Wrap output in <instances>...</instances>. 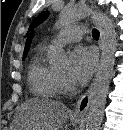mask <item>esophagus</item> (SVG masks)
I'll return each mask as SVG.
<instances>
[{"instance_id": "34e87169", "label": "esophagus", "mask_w": 123, "mask_h": 130, "mask_svg": "<svg viewBox=\"0 0 123 130\" xmlns=\"http://www.w3.org/2000/svg\"><path fill=\"white\" fill-rule=\"evenodd\" d=\"M91 19L100 32V46H101L104 38L101 23L97 18V16L95 15V13H92ZM93 86L94 84L92 83L87 89V91L84 94H82L81 97L78 99L75 109L72 113L73 118L82 119L84 115L87 113L93 93Z\"/></svg>"}]
</instances>
